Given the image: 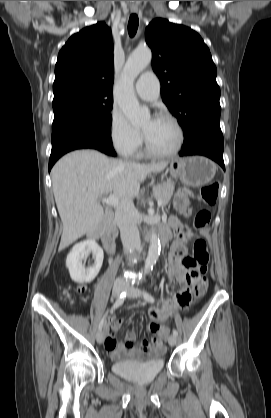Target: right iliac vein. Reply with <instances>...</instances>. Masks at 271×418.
I'll use <instances>...</instances> for the list:
<instances>
[{
	"label": "right iliac vein",
	"instance_id": "63e3f726",
	"mask_svg": "<svg viewBox=\"0 0 271 418\" xmlns=\"http://www.w3.org/2000/svg\"><path fill=\"white\" fill-rule=\"evenodd\" d=\"M124 287L121 285H114L112 289V297L117 298L120 296V294L123 292ZM96 340L99 344L103 343L104 341V332L102 330H99L96 334Z\"/></svg>",
	"mask_w": 271,
	"mask_h": 418
}]
</instances>
